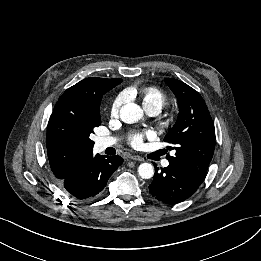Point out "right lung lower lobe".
Here are the masks:
<instances>
[{
	"label": "right lung lower lobe",
	"mask_w": 261,
	"mask_h": 261,
	"mask_svg": "<svg viewBox=\"0 0 261 261\" xmlns=\"http://www.w3.org/2000/svg\"><path fill=\"white\" fill-rule=\"evenodd\" d=\"M123 163L120 156L103 157L89 153L61 183L68 196L75 200L89 201L99 197L108 179Z\"/></svg>",
	"instance_id": "98d812e1"
}]
</instances>
